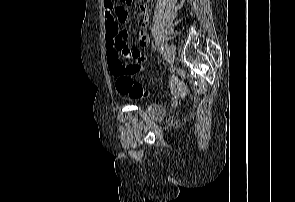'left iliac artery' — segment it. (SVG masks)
<instances>
[{"label": "left iliac artery", "instance_id": "obj_1", "mask_svg": "<svg viewBox=\"0 0 295 202\" xmlns=\"http://www.w3.org/2000/svg\"><path fill=\"white\" fill-rule=\"evenodd\" d=\"M161 51H162V53H166V51H167V46H166V45H162V47H161Z\"/></svg>", "mask_w": 295, "mask_h": 202}]
</instances>
